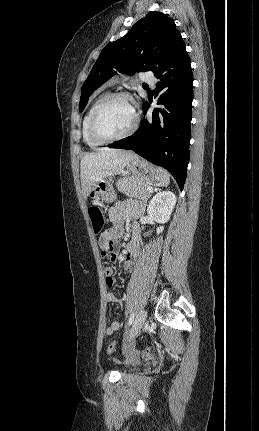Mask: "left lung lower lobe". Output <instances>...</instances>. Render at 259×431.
<instances>
[{"label": "left lung lower lobe", "instance_id": "left-lung-lower-lobe-1", "mask_svg": "<svg viewBox=\"0 0 259 431\" xmlns=\"http://www.w3.org/2000/svg\"><path fill=\"white\" fill-rule=\"evenodd\" d=\"M159 108L143 119L138 131L111 148L133 150L151 163L167 169L182 191L189 163L193 74L186 46L181 39L154 73ZM149 103L143 106L146 114Z\"/></svg>", "mask_w": 259, "mask_h": 431}]
</instances>
